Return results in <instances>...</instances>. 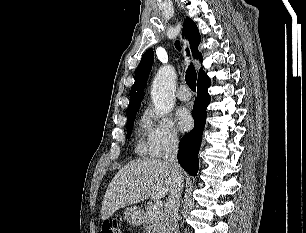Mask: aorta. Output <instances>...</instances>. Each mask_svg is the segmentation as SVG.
I'll return each mask as SVG.
<instances>
[{
    "label": "aorta",
    "mask_w": 306,
    "mask_h": 233,
    "mask_svg": "<svg viewBox=\"0 0 306 233\" xmlns=\"http://www.w3.org/2000/svg\"><path fill=\"white\" fill-rule=\"evenodd\" d=\"M176 73L171 65L162 66L152 83L151 98L158 115L168 114L175 104Z\"/></svg>",
    "instance_id": "1"
}]
</instances>
